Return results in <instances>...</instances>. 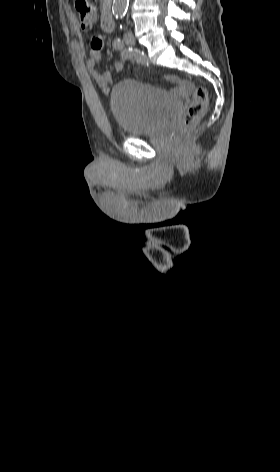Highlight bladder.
<instances>
[{
	"mask_svg": "<svg viewBox=\"0 0 280 472\" xmlns=\"http://www.w3.org/2000/svg\"><path fill=\"white\" fill-rule=\"evenodd\" d=\"M112 115L124 134H148L180 107V102L167 90L152 84L126 80L116 85L110 100Z\"/></svg>",
	"mask_w": 280,
	"mask_h": 472,
	"instance_id": "obj_1",
	"label": "bladder"
}]
</instances>
